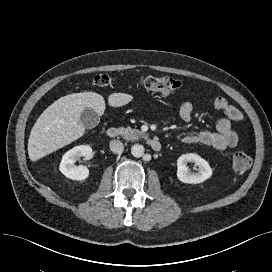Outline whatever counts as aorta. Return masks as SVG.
<instances>
[{"label":"aorta","mask_w":272,"mask_h":272,"mask_svg":"<svg viewBox=\"0 0 272 272\" xmlns=\"http://www.w3.org/2000/svg\"><path fill=\"white\" fill-rule=\"evenodd\" d=\"M131 154L136 157L140 158L144 155V147L140 144H135L131 148Z\"/></svg>","instance_id":"1"}]
</instances>
